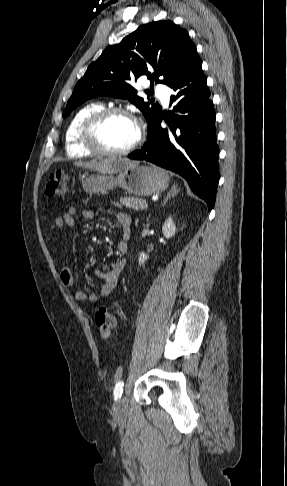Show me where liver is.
<instances>
[{"mask_svg":"<svg viewBox=\"0 0 287 486\" xmlns=\"http://www.w3.org/2000/svg\"><path fill=\"white\" fill-rule=\"evenodd\" d=\"M77 167L89 169L102 174H115L124 169L126 166H133L139 164L137 161H131L127 158H111L102 161H75L73 163Z\"/></svg>","mask_w":287,"mask_h":486,"instance_id":"1","label":"liver"}]
</instances>
